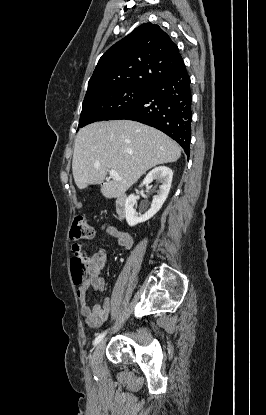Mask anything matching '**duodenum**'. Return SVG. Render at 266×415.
Masks as SVG:
<instances>
[{"instance_id":"obj_1","label":"duodenum","mask_w":266,"mask_h":415,"mask_svg":"<svg viewBox=\"0 0 266 415\" xmlns=\"http://www.w3.org/2000/svg\"><path fill=\"white\" fill-rule=\"evenodd\" d=\"M126 200H127L126 195L121 194L120 196L117 197L115 201L116 213L121 218H123L126 214Z\"/></svg>"}]
</instances>
